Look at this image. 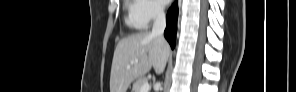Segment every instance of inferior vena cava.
Instances as JSON below:
<instances>
[{
  "label": "inferior vena cava",
  "instance_id": "1",
  "mask_svg": "<svg viewBox=\"0 0 296 92\" xmlns=\"http://www.w3.org/2000/svg\"><path fill=\"white\" fill-rule=\"evenodd\" d=\"M166 27V19L164 8L161 5L155 6V19L151 34L154 36L163 37V32Z\"/></svg>",
  "mask_w": 296,
  "mask_h": 92
}]
</instances>
